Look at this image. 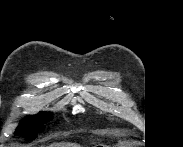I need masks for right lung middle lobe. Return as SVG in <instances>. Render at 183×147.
Instances as JSON below:
<instances>
[{
    "mask_svg": "<svg viewBox=\"0 0 183 147\" xmlns=\"http://www.w3.org/2000/svg\"><path fill=\"white\" fill-rule=\"evenodd\" d=\"M52 114L47 112H41L36 116H28L23 120L16 130V134H22L33 140L37 137V133L44 130L45 124L51 119Z\"/></svg>",
    "mask_w": 183,
    "mask_h": 147,
    "instance_id": "obj_1",
    "label": "right lung middle lobe"
}]
</instances>
